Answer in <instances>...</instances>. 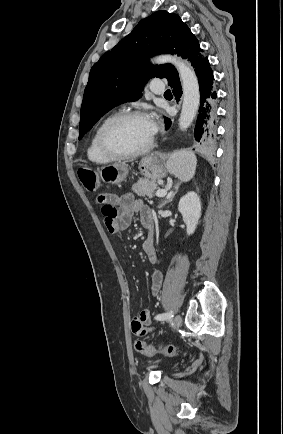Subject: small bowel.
<instances>
[{
  "instance_id": "c3829d8e",
  "label": "small bowel",
  "mask_w": 283,
  "mask_h": 434,
  "mask_svg": "<svg viewBox=\"0 0 283 434\" xmlns=\"http://www.w3.org/2000/svg\"><path fill=\"white\" fill-rule=\"evenodd\" d=\"M97 203L101 207L104 215V222L109 232L119 235L131 223L135 215L140 216L141 223L146 228L152 226V215L148 206L141 200L135 199L131 194L121 197L113 194H100ZM143 251L150 262L160 263L152 241L148 239L143 243ZM163 282V274L160 270L152 274V294L157 296ZM152 326V315L148 309L143 310L131 322V331L135 335H144Z\"/></svg>"
}]
</instances>
